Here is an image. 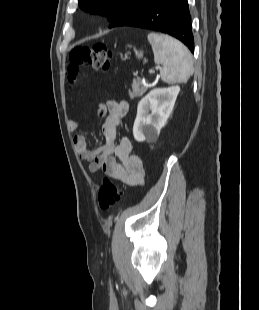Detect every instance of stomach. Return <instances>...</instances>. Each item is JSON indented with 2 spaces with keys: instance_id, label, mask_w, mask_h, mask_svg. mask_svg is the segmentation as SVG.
<instances>
[{
  "instance_id": "0dacf381",
  "label": "stomach",
  "mask_w": 259,
  "mask_h": 310,
  "mask_svg": "<svg viewBox=\"0 0 259 310\" xmlns=\"http://www.w3.org/2000/svg\"><path fill=\"white\" fill-rule=\"evenodd\" d=\"M135 55L138 59H141L143 57V52L142 51H135Z\"/></svg>"
}]
</instances>
